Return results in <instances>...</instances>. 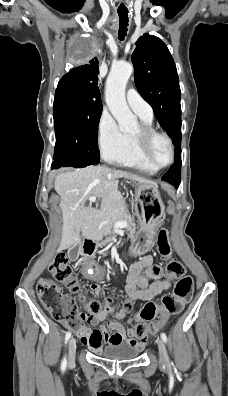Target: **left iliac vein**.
I'll return each instance as SVG.
<instances>
[{
    "instance_id": "4c4485c4",
    "label": "left iliac vein",
    "mask_w": 228,
    "mask_h": 396,
    "mask_svg": "<svg viewBox=\"0 0 228 396\" xmlns=\"http://www.w3.org/2000/svg\"><path fill=\"white\" fill-rule=\"evenodd\" d=\"M156 342L158 344L160 362L163 363V364H168L169 360H168L166 347H165V344H164L163 340L158 337Z\"/></svg>"
}]
</instances>
